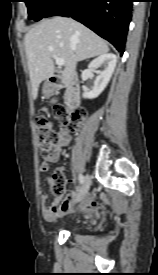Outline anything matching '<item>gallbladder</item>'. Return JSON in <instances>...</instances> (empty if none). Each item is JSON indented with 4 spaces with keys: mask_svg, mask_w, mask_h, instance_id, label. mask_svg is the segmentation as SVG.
Here are the masks:
<instances>
[{
    "mask_svg": "<svg viewBox=\"0 0 158 275\" xmlns=\"http://www.w3.org/2000/svg\"><path fill=\"white\" fill-rule=\"evenodd\" d=\"M58 100L56 99V98H54V99H52L51 101H50V103H52V104H54V103H56Z\"/></svg>",
    "mask_w": 158,
    "mask_h": 275,
    "instance_id": "bac80fb5",
    "label": "gallbladder"
}]
</instances>
